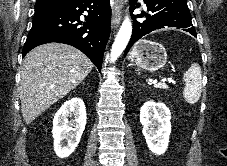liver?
I'll return each instance as SVG.
<instances>
[{
    "instance_id": "obj_1",
    "label": "liver",
    "mask_w": 227,
    "mask_h": 166,
    "mask_svg": "<svg viewBox=\"0 0 227 166\" xmlns=\"http://www.w3.org/2000/svg\"><path fill=\"white\" fill-rule=\"evenodd\" d=\"M92 68L90 59L70 45L48 43L31 50L24 59L19 87L25 123L77 87Z\"/></svg>"
}]
</instances>
